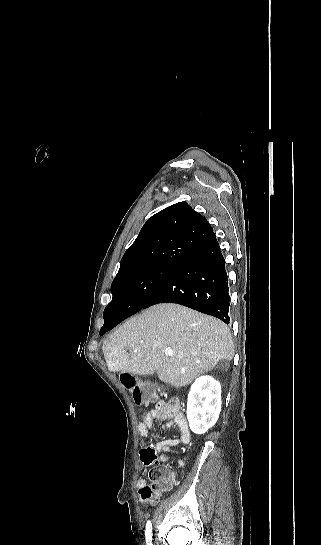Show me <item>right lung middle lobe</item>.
I'll return each mask as SVG.
<instances>
[{
  "label": "right lung middle lobe",
  "mask_w": 321,
  "mask_h": 545,
  "mask_svg": "<svg viewBox=\"0 0 321 545\" xmlns=\"http://www.w3.org/2000/svg\"><path fill=\"white\" fill-rule=\"evenodd\" d=\"M180 266L158 264L124 272L111 285L112 301L108 307L117 308L118 317H127L140 311L150 298L165 284ZM108 319L104 314L105 328Z\"/></svg>",
  "instance_id": "1"
}]
</instances>
